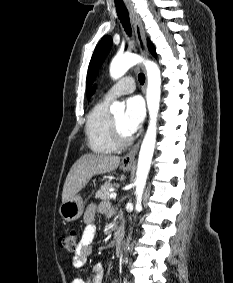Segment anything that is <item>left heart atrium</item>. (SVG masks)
Wrapping results in <instances>:
<instances>
[{
    "label": "left heart atrium",
    "instance_id": "1",
    "mask_svg": "<svg viewBox=\"0 0 233 283\" xmlns=\"http://www.w3.org/2000/svg\"><path fill=\"white\" fill-rule=\"evenodd\" d=\"M145 117V105L140 96H132L126 101L124 116L125 130L131 135L138 130Z\"/></svg>",
    "mask_w": 233,
    "mask_h": 283
}]
</instances>
